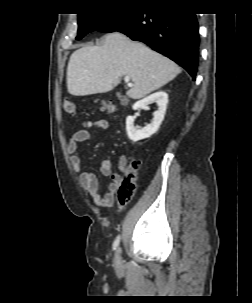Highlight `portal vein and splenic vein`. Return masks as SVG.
I'll use <instances>...</instances> for the list:
<instances>
[{"mask_svg": "<svg viewBox=\"0 0 252 303\" xmlns=\"http://www.w3.org/2000/svg\"><path fill=\"white\" fill-rule=\"evenodd\" d=\"M124 80H125V82L127 83L128 86L133 87V84L129 83V80H130L129 77L125 76Z\"/></svg>", "mask_w": 252, "mask_h": 303, "instance_id": "portal-vein-and-splenic-vein-1", "label": "portal vein and splenic vein"}]
</instances>
